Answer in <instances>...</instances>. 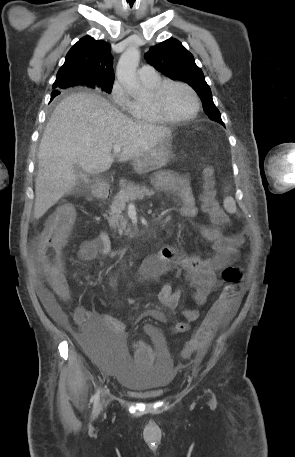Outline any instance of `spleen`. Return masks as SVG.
I'll return each instance as SVG.
<instances>
[{
	"mask_svg": "<svg viewBox=\"0 0 295 457\" xmlns=\"http://www.w3.org/2000/svg\"><path fill=\"white\" fill-rule=\"evenodd\" d=\"M224 208L229 213H234L236 211V203L232 197H226L224 200Z\"/></svg>",
	"mask_w": 295,
	"mask_h": 457,
	"instance_id": "3e777b00",
	"label": "spleen"
}]
</instances>
